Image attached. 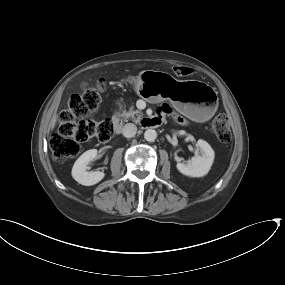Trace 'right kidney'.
Instances as JSON below:
<instances>
[{
	"mask_svg": "<svg viewBox=\"0 0 285 285\" xmlns=\"http://www.w3.org/2000/svg\"><path fill=\"white\" fill-rule=\"evenodd\" d=\"M97 156V150L84 152L74 163L72 177L81 185L91 186L100 182L105 174L100 171H87V165Z\"/></svg>",
	"mask_w": 285,
	"mask_h": 285,
	"instance_id": "obj_1",
	"label": "right kidney"
}]
</instances>
